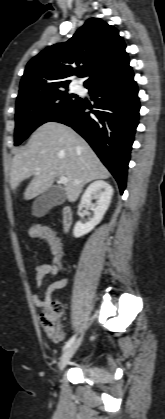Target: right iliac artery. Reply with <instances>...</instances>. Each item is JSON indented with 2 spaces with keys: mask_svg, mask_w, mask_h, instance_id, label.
<instances>
[{
  "mask_svg": "<svg viewBox=\"0 0 165 419\" xmlns=\"http://www.w3.org/2000/svg\"><path fill=\"white\" fill-rule=\"evenodd\" d=\"M76 335L72 336L65 344L64 350H66L74 341H75Z\"/></svg>",
  "mask_w": 165,
  "mask_h": 419,
  "instance_id": "right-iliac-artery-1",
  "label": "right iliac artery"
}]
</instances>
